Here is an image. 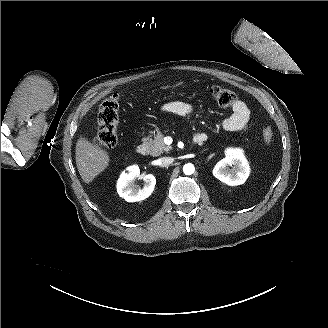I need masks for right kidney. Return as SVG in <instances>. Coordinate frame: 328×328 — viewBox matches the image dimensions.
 I'll use <instances>...</instances> for the list:
<instances>
[{"label": "right kidney", "instance_id": "right-kidney-1", "mask_svg": "<svg viewBox=\"0 0 328 328\" xmlns=\"http://www.w3.org/2000/svg\"><path fill=\"white\" fill-rule=\"evenodd\" d=\"M141 178L144 180V187L135 185V180ZM156 178L152 174L144 176L140 175L137 166L127 168V172H123L117 183V191L120 197L127 202H138L148 198L154 191Z\"/></svg>", "mask_w": 328, "mask_h": 328}]
</instances>
